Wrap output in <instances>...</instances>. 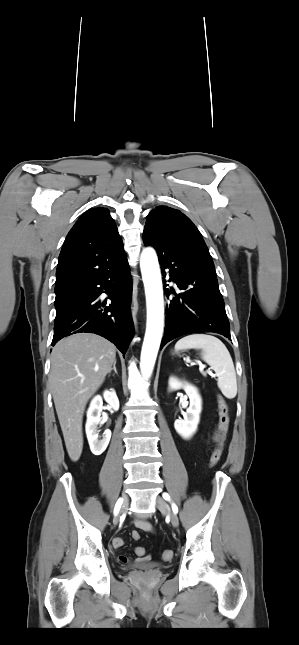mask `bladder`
Returning <instances> with one entry per match:
<instances>
[{"label":"bladder","instance_id":"bladder-1","mask_svg":"<svg viewBox=\"0 0 299 645\" xmlns=\"http://www.w3.org/2000/svg\"><path fill=\"white\" fill-rule=\"evenodd\" d=\"M164 567H165V565H164V564H162V563H160V562H156V561H144V562H138V563L131 564V565H129L127 568H130V569H141V570H150V569L164 568Z\"/></svg>","mask_w":299,"mask_h":645}]
</instances>
